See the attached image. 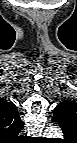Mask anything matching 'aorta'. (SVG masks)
<instances>
[{"instance_id": "762f6f07", "label": "aorta", "mask_w": 77, "mask_h": 143, "mask_svg": "<svg viewBox=\"0 0 77 143\" xmlns=\"http://www.w3.org/2000/svg\"><path fill=\"white\" fill-rule=\"evenodd\" d=\"M45 133L48 135L59 134L60 130L59 128H56V127H50L49 129L46 130Z\"/></svg>"}]
</instances>
